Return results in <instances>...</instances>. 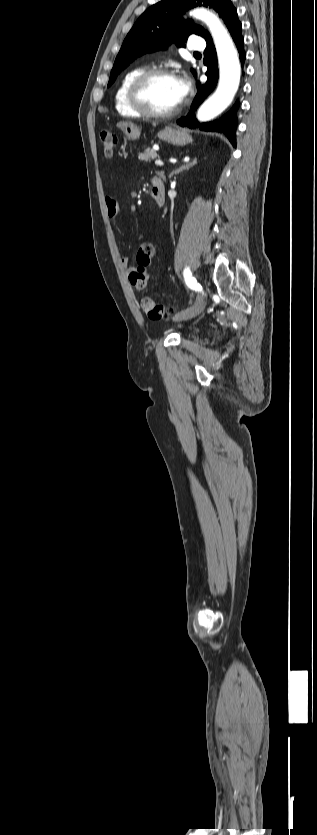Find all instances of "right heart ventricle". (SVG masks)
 I'll list each match as a JSON object with an SVG mask.
<instances>
[{"label": "right heart ventricle", "mask_w": 317, "mask_h": 835, "mask_svg": "<svg viewBox=\"0 0 317 835\" xmlns=\"http://www.w3.org/2000/svg\"><path fill=\"white\" fill-rule=\"evenodd\" d=\"M146 69L142 66L136 67L128 71L121 79L115 93V107L116 110L123 116L139 118L142 115L137 112L130 104L128 98V90L134 79L144 72Z\"/></svg>", "instance_id": "right-heart-ventricle-1"}]
</instances>
